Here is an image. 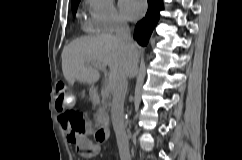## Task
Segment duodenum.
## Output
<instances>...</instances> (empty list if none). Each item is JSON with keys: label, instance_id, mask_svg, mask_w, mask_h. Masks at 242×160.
I'll use <instances>...</instances> for the list:
<instances>
[{"label": "duodenum", "instance_id": "1", "mask_svg": "<svg viewBox=\"0 0 242 160\" xmlns=\"http://www.w3.org/2000/svg\"><path fill=\"white\" fill-rule=\"evenodd\" d=\"M91 96L94 100L98 99V90L96 88H93L91 90ZM95 137L96 140L100 143H104L108 140L109 138V129L106 125L100 126L98 129L95 131Z\"/></svg>", "mask_w": 242, "mask_h": 160}]
</instances>
